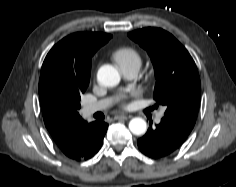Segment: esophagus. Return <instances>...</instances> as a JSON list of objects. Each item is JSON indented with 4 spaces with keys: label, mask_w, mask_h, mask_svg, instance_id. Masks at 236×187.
<instances>
[{
    "label": "esophagus",
    "mask_w": 236,
    "mask_h": 187,
    "mask_svg": "<svg viewBox=\"0 0 236 187\" xmlns=\"http://www.w3.org/2000/svg\"><path fill=\"white\" fill-rule=\"evenodd\" d=\"M128 117L126 115H116L115 120H126Z\"/></svg>",
    "instance_id": "esophagus-1"
}]
</instances>
